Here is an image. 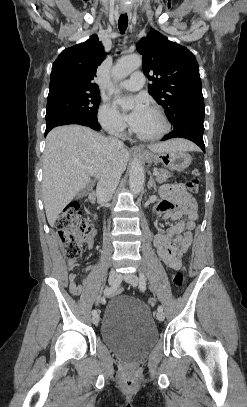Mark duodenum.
<instances>
[{"instance_id":"obj_1","label":"duodenum","mask_w":247,"mask_h":407,"mask_svg":"<svg viewBox=\"0 0 247 407\" xmlns=\"http://www.w3.org/2000/svg\"><path fill=\"white\" fill-rule=\"evenodd\" d=\"M89 199L93 203H98V202H100V195H99V193L97 191H93L90 194Z\"/></svg>"}]
</instances>
